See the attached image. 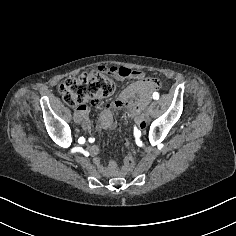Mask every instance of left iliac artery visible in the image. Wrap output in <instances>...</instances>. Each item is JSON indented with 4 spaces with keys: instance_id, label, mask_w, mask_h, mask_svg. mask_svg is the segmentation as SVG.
Wrapping results in <instances>:
<instances>
[{
    "instance_id": "left-iliac-artery-1",
    "label": "left iliac artery",
    "mask_w": 236,
    "mask_h": 236,
    "mask_svg": "<svg viewBox=\"0 0 236 236\" xmlns=\"http://www.w3.org/2000/svg\"><path fill=\"white\" fill-rule=\"evenodd\" d=\"M153 99H155V100L159 99V94L157 92L153 93Z\"/></svg>"
}]
</instances>
